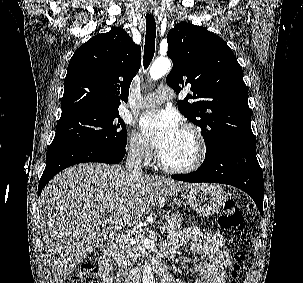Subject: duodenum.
<instances>
[{
    "label": "duodenum",
    "mask_w": 303,
    "mask_h": 283,
    "mask_svg": "<svg viewBox=\"0 0 303 283\" xmlns=\"http://www.w3.org/2000/svg\"><path fill=\"white\" fill-rule=\"evenodd\" d=\"M106 251L110 253V255L113 254L114 248L111 246H108ZM149 267L153 269L158 274L162 275L163 278L169 274L168 272V266L165 261H158L153 264H151ZM143 272L146 271V268L142 270ZM136 271H130L128 274H126L123 278L124 283H140L139 277L135 275ZM163 282V281H162Z\"/></svg>",
    "instance_id": "410a0bca"
}]
</instances>
